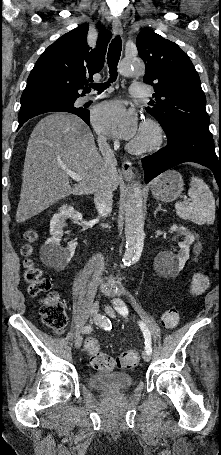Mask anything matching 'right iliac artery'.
Here are the masks:
<instances>
[{
	"label": "right iliac artery",
	"mask_w": 221,
	"mask_h": 455,
	"mask_svg": "<svg viewBox=\"0 0 221 455\" xmlns=\"http://www.w3.org/2000/svg\"><path fill=\"white\" fill-rule=\"evenodd\" d=\"M95 322L96 324H98L101 329H103L107 334H114V329L111 328L110 324H109V320L107 319H104L103 316L99 315L97 317H95ZM92 331V327L90 325H87L83 328V333L84 334H87V333H90Z\"/></svg>",
	"instance_id": "right-iliac-artery-1"
}]
</instances>
